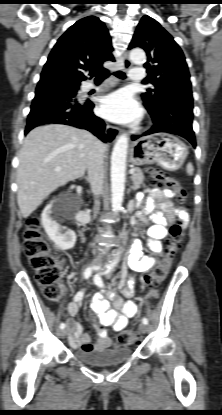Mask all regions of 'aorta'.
<instances>
[{
	"label": "aorta",
	"mask_w": 222,
	"mask_h": 415,
	"mask_svg": "<svg viewBox=\"0 0 222 415\" xmlns=\"http://www.w3.org/2000/svg\"><path fill=\"white\" fill-rule=\"evenodd\" d=\"M130 59L136 65H142L146 61L145 52L142 49H133L130 52ZM129 138L121 135L113 148L111 155V206L114 213L122 208L125 189L126 156ZM117 259L113 261L116 263Z\"/></svg>",
	"instance_id": "aorta-1"
}]
</instances>
